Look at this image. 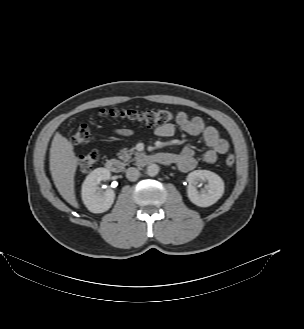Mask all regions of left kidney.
<instances>
[{
    "label": "left kidney",
    "instance_id": "left-kidney-1",
    "mask_svg": "<svg viewBox=\"0 0 304 329\" xmlns=\"http://www.w3.org/2000/svg\"><path fill=\"white\" fill-rule=\"evenodd\" d=\"M187 194L190 201L199 207H208L216 203L224 193V182L220 176L208 170H195L188 174ZM207 181L206 190L198 192L195 185Z\"/></svg>",
    "mask_w": 304,
    "mask_h": 329
}]
</instances>
